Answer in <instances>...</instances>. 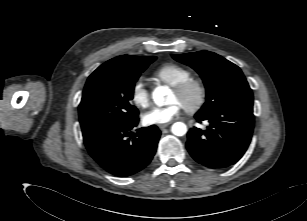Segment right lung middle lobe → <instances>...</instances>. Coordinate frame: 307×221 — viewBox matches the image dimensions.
Returning a JSON list of instances; mask_svg holds the SVG:
<instances>
[{"label": "right lung middle lobe", "instance_id": "1", "mask_svg": "<svg viewBox=\"0 0 307 221\" xmlns=\"http://www.w3.org/2000/svg\"><path fill=\"white\" fill-rule=\"evenodd\" d=\"M155 59L150 56L136 64L94 71L89 76L79 105L84 140L104 129L138 118V110L130 102L135 82Z\"/></svg>", "mask_w": 307, "mask_h": 221}]
</instances>
